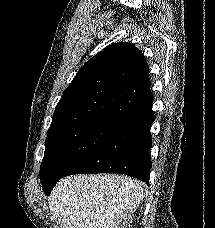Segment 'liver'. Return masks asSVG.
Wrapping results in <instances>:
<instances>
[{"label": "liver", "instance_id": "obj_1", "mask_svg": "<svg viewBox=\"0 0 215 228\" xmlns=\"http://www.w3.org/2000/svg\"><path fill=\"white\" fill-rule=\"evenodd\" d=\"M145 184L119 174L62 178L47 198L62 228H130Z\"/></svg>", "mask_w": 215, "mask_h": 228}]
</instances>
